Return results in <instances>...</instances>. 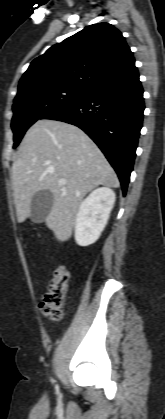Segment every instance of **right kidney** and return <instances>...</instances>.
<instances>
[{
    "label": "right kidney",
    "instance_id": "1",
    "mask_svg": "<svg viewBox=\"0 0 165 419\" xmlns=\"http://www.w3.org/2000/svg\"><path fill=\"white\" fill-rule=\"evenodd\" d=\"M108 187L93 190L81 203L75 222V241L79 246L93 244L104 230L115 203Z\"/></svg>",
    "mask_w": 165,
    "mask_h": 419
}]
</instances>
